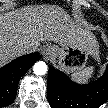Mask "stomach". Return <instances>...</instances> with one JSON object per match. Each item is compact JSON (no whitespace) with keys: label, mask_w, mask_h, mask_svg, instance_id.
I'll return each mask as SVG.
<instances>
[{"label":"stomach","mask_w":108,"mask_h":108,"mask_svg":"<svg viewBox=\"0 0 108 108\" xmlns=\"http://www.w3.org/2000/svg\"><path fill=\"white\" fill-rule=\"evenodd\" d=\"M81 42L61 46V48L48 45L45 55L68 73L81 72L87 65L89 57L96 59L98 56V45L94 35L90 33L82 38Z\"/></svg>","instance_id":"1"}]
</instances>
